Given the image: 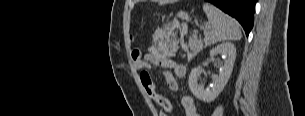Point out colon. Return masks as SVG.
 <instances>
[{"label":"colon","instance_id":"colon-1","mask_svg":"<svg viewBox=\"0 0 305 116\" xmlns=\"http://www.w3.org/2000/svg\"><path fill=\"white\" fill-rule=\"evenodd\" d=\"M141 76H142V78H145V79H148V78H149V74H148V72H146V71H143V72L141 73Z\"/></svg>","mask_w":305,"mask_h":116}]
</instances>
